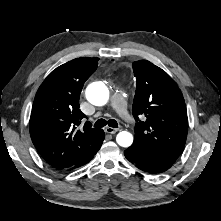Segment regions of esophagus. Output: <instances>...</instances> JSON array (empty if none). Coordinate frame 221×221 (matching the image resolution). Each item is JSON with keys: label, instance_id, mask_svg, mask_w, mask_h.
<instances>
[{"label": "esophagus", "instance_id": "esophagus-1", "mask_svg": "<svg viewBox=\"0 0 221 221\" xmlns=\"http://www.w3.org/2000/svg\"><path fill=\"white\" fill-rule=\"evenodd\" d=\"M104 131H105L106 133H108V134H115L116 132L119 131V129H117V128H112V127H106V128L104 129Z\"/></svg>", "mask_w": 221, "mask_h": 221}]
</instances>
